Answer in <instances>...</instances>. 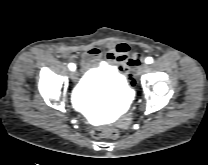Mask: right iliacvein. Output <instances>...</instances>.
Listing matches in <instances>:
<instances>
[{"mask_svg":"<svg viewBox=\"0 0 208 165\" xmlns=\"http://www.w3.org/2000/svg\"><path fill=\"white\" fill-rule=\"evenodd\" d=\"M70 75H71V79L73 81L77 80V78H78V72L77 71H73Z\"/></svg>","mask_w":208,"mask_h":165,"instance_id":"right-iliac-vein-1","label":"right iliac vein"}]
</instances>
